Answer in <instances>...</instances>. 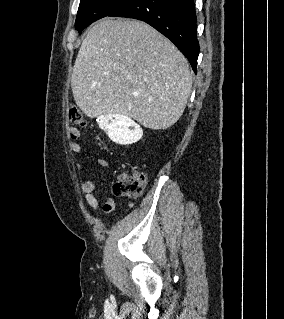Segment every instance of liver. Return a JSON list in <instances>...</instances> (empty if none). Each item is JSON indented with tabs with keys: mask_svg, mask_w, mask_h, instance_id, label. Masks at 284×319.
Wrapping results in <instances>:
<instances>
[{
	"mask_svg": "<svg viewBox=\"0 0 284 319\" xmlns=\"http://www.w3.org/2000/svg\"><path fill=\"white\" fill-rule=\"evenodd\" d=\"M71 87L89 117L120 114L158 130L183 114L192 76L184 55L150 25L104 18L81 44Z\"/></svg>",
	"mask_w": 284,
	"mask_h": 319,
	"instance_id": "6515ba94",
	"label": "liver"
}]
</instances>
